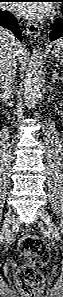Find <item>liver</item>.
I'll return each instance as SVG.
<instances>
[{
  "label": "liver",
  "instance_id": "liver-1",
  "mask_svg": "<svg viewBox=\"0 0 63 297\" xmlns=\"http://www.w3.org/2000/svg\"><path fill=\"white\" fill-rule=\"evenodd\" d=\"M11 35L12 34L9 31L0 29V53H1V51H4L8 47V45L10 43ZM16 52H17L18 59L20 61H22L26 50L20 43H18V45L16 47Z\"/></svg>",
  "mask_w": 63,
  "mask_h": 297
}]
</instances>
